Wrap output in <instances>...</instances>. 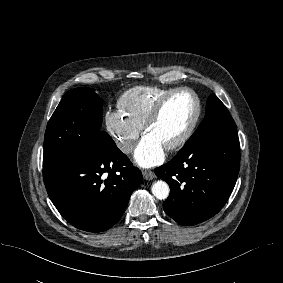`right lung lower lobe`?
I'll return each mask as SVG.
<instances>
[{
  "mask_svg": "<svg viewBox=\"0 0 283 283\" xmlns=\"http://www.w3.org/2000/svg\"><path fill=\"white\" fill-rule=\"evenodd\" d=\"M43 179L51 201L71 225L102 232L120 219L142 173L108 139L44 168Z\"/></svg>",
  "mask_w": 283,
  "mask_h": 283,
  "instance_id": "98d812e1",
  "label": "right lung lower lobe"
}]
</instances>
